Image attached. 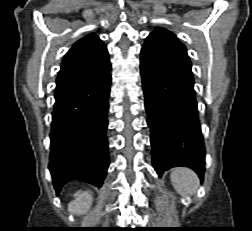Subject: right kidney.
Listing matches in <instances>:
<instances>
[{"instance_id":"right-kidney-1","label":"right kidney","mask_w":252,"mask_h":231,"mask_svg":"<svg viewBox=\"0 0 252 231\" xmlns=\"http://www.w3.org/2000/svg\"><path fill=\"white\" fill-rule=\"evenodd\" d=\"M75 199L68 205V210L76 215L86 213L92 205V195L89 191H78L74 194Z\"/></svg>"}]
</instances>
